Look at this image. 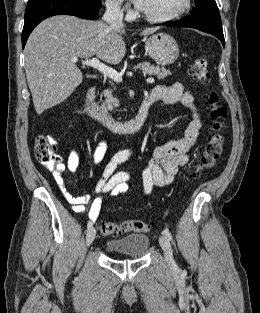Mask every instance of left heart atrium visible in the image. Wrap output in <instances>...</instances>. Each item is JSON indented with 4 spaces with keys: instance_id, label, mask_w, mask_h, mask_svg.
<instances>
[{
    "instance_id": "1",
    "label": "left heart atrium",
    "mask_w": 260,
    "mask_h": 313,
    "mask_svg": "<svg viewBox=\"0 0 260 313\" xmlns=\"http://www.w3.org/2000/svg\"><path fill=\"white\" fill-rule=\"evenodd\" d=\"M135 4L137 6H139L140 8L142 7L143 3H144V0H134Z\"/></svg>"
}]
</instances>
